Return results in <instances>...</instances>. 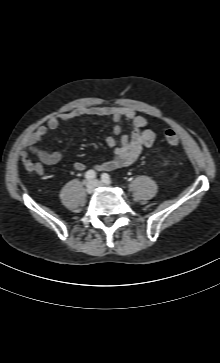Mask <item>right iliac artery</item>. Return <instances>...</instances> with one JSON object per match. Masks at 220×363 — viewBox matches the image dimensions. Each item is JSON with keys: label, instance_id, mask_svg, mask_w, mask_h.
<instances>
[{"label": "right iliac artery", "instance_id": "obj_1", "mask_svg": "<svg viewBox=\"0 0 220 363\" xmlns=\"http://www.w3.org/2000/svg\"><path fill=\"white\" fill-rule=\"evenodd\" d=\"M96 177V173L93 170H89L85 173V178L90 180Z\"/></svg>", "mask_w": 220, "mask_h": 363}]
</instances>
